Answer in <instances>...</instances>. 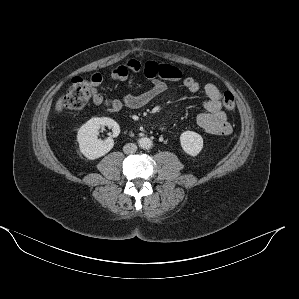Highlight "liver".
Segmentation results:
<instances>
[{
	"instance_id": "6515ba94",
	"label": "liver",
	"mask_w": 299,
	"mask_h": 299,
	"mask_svg": "<svg viewBox=\"0 0 299 299\" xmlns=\"http://www.w3.org/2000/svg\"><path fill=\"white\" fill-rule=\"evenodd\" d=\"M64 96L60 97L57 101H56V104H55V111L57 113H60L63 111L64 109Z\"/></svg>"
}]
</instances>
